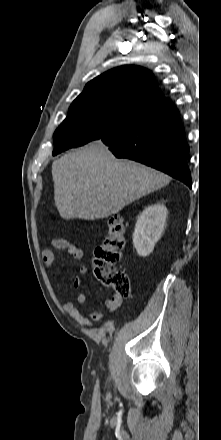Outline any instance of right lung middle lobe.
Instances as JSON below:
<instances>
[{"label": "right lung middle lobe", "instance_id": "right-lung-middle-lobe-1", "mask_svg": "<svg viewBox=\"0 0 221 440\" xmlns=\"http://www.w3.org/2000/svg\"><path fill=\"white\" fill-rule=\"evenodd\" d=\"M134 112L109 101L73 102L66 119L54 133L53 155L100 139Z\"/></svg>", "mask_w": 221, "mask_h": 440}]
</instances>
